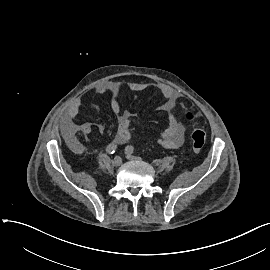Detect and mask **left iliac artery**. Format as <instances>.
Segmentation results:
<instances>
[{"mask_svg":"<svg viewBox=\"0 0 270 270\" xmlns=\"http://www.w3.org/2000/svg\"><path fill=\"white\" fill-rule=\"evenodd\" d=\"M134 152V147L129 145L125 148V153H130L132 154Z\"/></svg>","mask_w":270,"mask_h":270,"instance_id":"left-iliac-artery-1","label":"left iliac artery"}]
</instances>
